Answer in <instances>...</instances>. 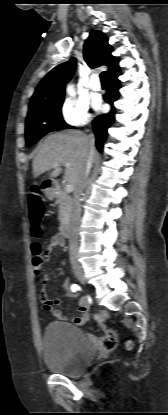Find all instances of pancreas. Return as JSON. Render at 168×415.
<instances>
[{
  "label": "pancreas",
  "instance_id": "cf45deb5",
  "mask_svg": "<svg viewBox=\"0 0 168 415\" xmlns=\"http://www.w3.org/2000/svg\"><path fill=\"white\" fill-rule=\"evenodd\" d=\"M56 203L59 205V221L64 224L69 220L71 211V197L65 191H60L56 195Z\"/></svg>",
  "mask_w": 168,
  "mask_h": 415
}]
</instances>
